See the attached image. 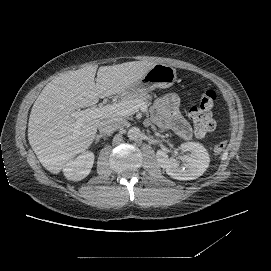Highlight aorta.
Listing matches in <instances>:
<instances>
[{"label": "aorta", "mask_w": 271, "mask_h": 271, "mask_svg": "<svg viewBox=\"0 0 271 271\" xmlns=\"http://www.w3.org/2000/svg\"><path fill=\"white\" fill-rule=\"evenodd\" d=\"M142 132L138 127H131L128 132L127 136L130 140H137L141 137Z\"/></svg>", "instance_id": "aorta-1"}]
</instances>
